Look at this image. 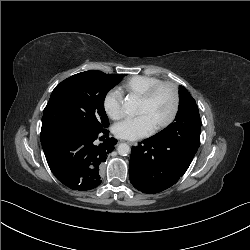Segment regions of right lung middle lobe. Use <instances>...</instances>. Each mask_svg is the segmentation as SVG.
<instances>
[{
  "instance_id": "dd1d6c3e",
  "label": "right lung middle lobe",
  "mask_w": 250,
  "mask_h": 250,
  "mask_svg": "<svg viewBox=\"0 0 250 250\" xmlns=\"http://www.w3.org/2000/svg\"><path fill=\"white\" fill-rule=\"evenodd\" d=\"M123 74L86 71L59 83L43 111L42 129L71 126L101 132L109 126L104 110L107 92L118 84Z\"/></svg>"
}]
</instances>
